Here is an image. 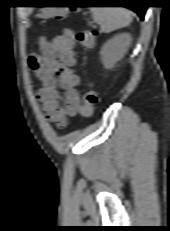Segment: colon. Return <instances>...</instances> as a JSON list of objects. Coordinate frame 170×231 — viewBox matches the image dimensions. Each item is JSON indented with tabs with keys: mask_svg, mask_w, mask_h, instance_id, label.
<instances>
[{
	"mask_svg": "<svg viewBox=\"0 0 170 231\" xmlns=\"http://www.w3.org/2000/svg\"><path fill=\"white\" fill-rule=\"evenodd\" d=\"M68 12L62 8H46L39 12V17L44 19H63ZM98 31L96 29L81 30L75 35L77 42L85 50L91 49L96 42ZM97 105V95L94 91H87L80 100L79 112L83 118L92 116Z\"/></svg>",
	"mask_w": 170,
	"mask_h": 231,
	"instance_id": "colon-1",
	"label": "colon"
}]
</instances>
